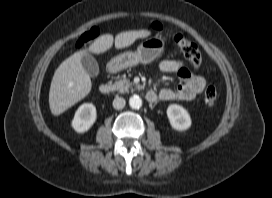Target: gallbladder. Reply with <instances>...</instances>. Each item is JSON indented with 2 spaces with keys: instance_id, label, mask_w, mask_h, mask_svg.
I'll return each instance as SVG.
<instances>
[{
  "instance_id": "1",
  "label": "gallbladder",
  "mask_w": 272,
  "mask_h": 198,
  "mask_svg": "<svg viewBox=\"0 0 272 198\" xmlns=\"http://www.w3.org/2000/svg\"><path fill=\"white\" fill-rule=\"evenodd\" d=\"M81 63L89 76L96 77L99 74V65L96 59L90 54L84 53L81 58Z\"/></svg>"
}]
</instances>
